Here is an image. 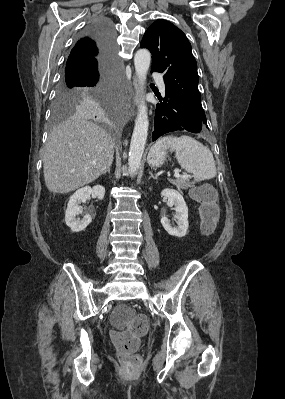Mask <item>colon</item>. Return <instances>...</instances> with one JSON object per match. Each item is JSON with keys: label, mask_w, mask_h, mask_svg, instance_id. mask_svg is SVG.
<instances>
[{"label": "colon", "mask_w": 285, "mask_h": 399, "mask_svg": "<svg viewBox=\"0 0 285 399\" xmlns=\"http://www.w3.org/2000/svg\"><path fill=\"white\" fill-rule=\"evenodd\" d=\"M190 194L193 199L200 203L202 232L204 234L212 233L215 230L219 216V209L213 190L207 186H198L193 188ZM146 330V319L140 316H133L124 330L111 333L117 354L125 364L133 365L138 363L136 351Z\"/></svg>", "instance_id": "1"}]
</instances>
